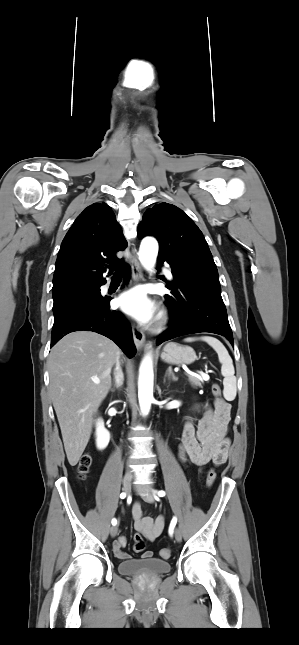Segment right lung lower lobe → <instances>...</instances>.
Segmentation results:
<instances>
[{
  "instance_id": "1",
  "label": "right lung lower lobe",
  "mask_w": 299,
  "mask_h": 645,
  "mask_svg": "<svg viewBox=\"0 0 299 645\" xmlns=\"http://www.w3.org/2000/svg\"><path fill=\"white\" fill-rule=\"evenodd\" d=\"M126 268L125 282L129 280L130 269L128 265ZM110 300V298H103L98 303L77 307L59 319L54 320L50 347L68 333L88 330L110 338L129 357H133L136 353V348L133 343L130 324L121 313L110 310Z\"/></svg>"
}]
</instances>
